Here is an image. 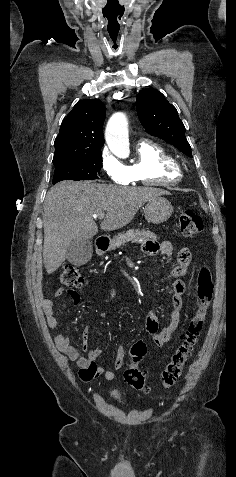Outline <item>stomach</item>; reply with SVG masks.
Segmentation results:
<instances>
[{"label": "stomach", "mask_w": 236, "mask_h": 477, "mask_svg": "<svg viewBox=\"0 0 236 477\" xmlns=\"http://www.w3.org/2000/svg\"><path fill=\"white\" fill-rule=\"evenodd\" d=\"M145 219L153 224H160L167 221L172 212L173 206L164 197L158 196L147 202L143 208Z\"/></svg>", "instance_id": "obj_1"}]
</instances>
